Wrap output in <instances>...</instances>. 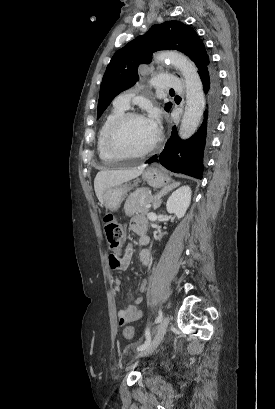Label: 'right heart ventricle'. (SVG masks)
<instances>
[{
  "label": "right heart ventricle",
  "mask_w": 275,
  "mask_h": 409,
  "mask_svg": "<svg viewBox=\"0 0 275 409\" xmlns=\"http://www.w3.org/2000/svg\"><path fill=\"white\" fill-rule=\"evenodd\" d=\"M125 109L119 108L114 106L113 110L109 113L106 117L105 121L103 122L97 139V149L99 153V157H109L108 152L106 150V139L108 132L110 130L111 125L113 122L122 114H124Z\"/></svg>",
  "instance_id": "1"
}]
</instances>
